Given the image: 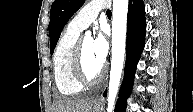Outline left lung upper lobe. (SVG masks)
I'll list each match as a JSON object with an SVG mask.
<instances>
[{"label":"left lung upper lobe","instance_id":"5c2ea615","mask_svg":"<svg viewBox=\"0 0 193 112\" xmlns=\"http://www.w3.org/2000/svg\"><path fill=\"white\" fill-rule=\"evenodd\" d=\"M85 0H55L50 10L49 36L52 54L60 34L70 17L84 4Z\"/></svg>","mask_w":193,"mask_h":112}]
</instances>
